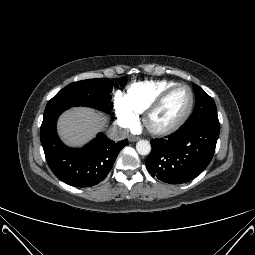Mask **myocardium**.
<instances>
[{
    "label": "myocardium",
    "mask_w": 255,
    "mask_h": 255,
    "mask_svg": "<svg viewBox=\"0 0 255 255\" xmlns=\"http://www.w3.org/2000/svg\"><path fill=\"white\" fill-rule=\"evenodd\" d=\"M179 88H185L188 90L189 94H190V103L189 106L186 110V112L184 113V115L174 124L168 126V127H163V128H156L153 127L150 124V118L152 117V115L161 107V105L163 104V102L166 100V98L175 90L179 89ZM194 93L192 91V89L185 84H175L167 89H165L163 92H161L156 98L155 100L146 108V110L144 111L143 114V125L145 127V129L152 135L154 136H166L169 134L174 133L175 131H177L180 127H182V125L188 120V118L190 117L193 107H194Z\"/></svg>",
    "instance_id": "myocardium-1"
}]
</instances>
